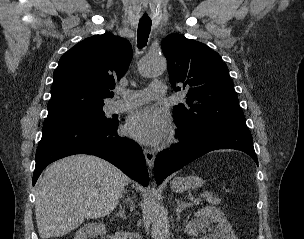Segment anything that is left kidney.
Returning <instances> with one entry per match:
<instances>
[{"mask_svg":"<svg viewBox=\"0 0 304 239\" xmlns=\"http://www.w3.org/2000/svg\"><path fill=\"white\" fill-rule=\"evenodd\" d=\"M218 223L215 232L207 239H238L224 213L216 207H205L195 213L194 228L199 232H205L211 224Z\"/></svg>","mask_w":304,"mask_h":239,"instance_id":"left-kidney-1","label":"left kidney"}]
</instances>
